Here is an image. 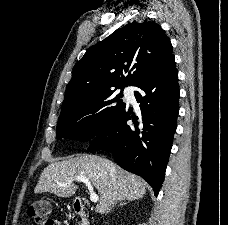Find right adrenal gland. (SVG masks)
<instances>
[{
  "mask_svg": "<svg viewBox=\"0 0 228 225\" xmlns=\"http://www.w3.org/2000/svg\"><path fill=\"white\" fill-rule=\"evenodd\" d=\"M132 201V199H130ZM121 205H127V201H122V203H119L118 207H121Z\"/></svg>",
  "mask_w": 228,
  "mask_h": 225,
  "instance_id": "obj_1",
  "label": "right adrenal gland"
}]
</instances>
